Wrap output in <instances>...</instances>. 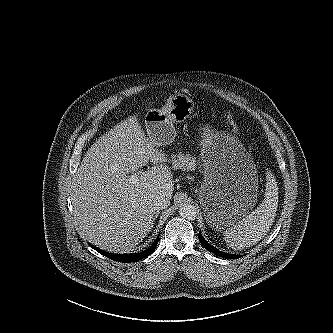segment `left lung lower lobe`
Here are the masks:
<instances>
[{
	"instance_id": "0a47b994",
	"label": "left lung lower lobe",
	"mask_w": 333,
	"mask_h": 333,
	"mask_svg": "<svg viewBox=\"0 0 333 333\" xmlns=\"http://www.w3.org/2000/svg\"><path fill=\"white\" fill-rule=\"evenodd\" d=\"M199 240L201 242V244L210 252L216 254L217 256L223 257V258H227V259H237L240 258V255H235V254H229V253H225L222 251H219L217 248H215L214 246L210 245L205 239L204 237H202L201 232H199Z\"/></svg>"
}]
</instances>
